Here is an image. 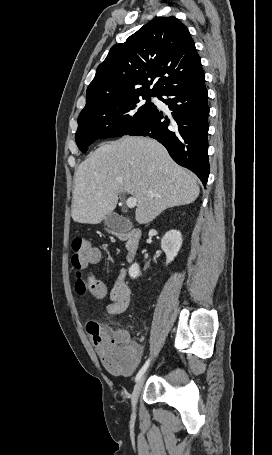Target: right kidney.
<instances>
[{
	"label": "right kidney",
	"instance_id": "1",
	"mask_svg": "<svg viewBox=\"0 0 272 455\" xmlns=\"http://www.w3.org/2000/svg\"><path fill=\"white\" fill-rule=\"evenodd\" d=\"M182 245V235L178 230L168 231L161 240V248L166 254V264H169L177 256ZM129 275L136 278L140 275L139 265L134 263L129 268Z\"/></svg>",
	"mask_w": 272,
	"mask_h": 455
}]
</instances>
